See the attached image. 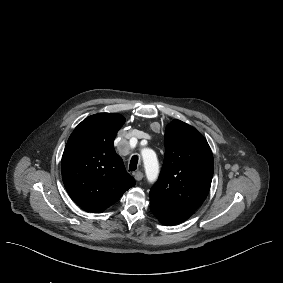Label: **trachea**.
I'll use <instances>...</instances> for the list:
<instances>
[{
  "label": "trachea",
  "instance_id": "obj_1",
  "mask_svg": "<svg viewBox=\"0 0 283 283\" xmlns=\"http://www.w3.org/2000/svg\"><path fill=\"white\" fill-rule=\"evenodd\" d=\"M139 158L137 155L132 156L129 164V171H135L137 169Z\"/></svg>",
  "mask_w": 283,
  "mask_h": 283
}]
</instances>
